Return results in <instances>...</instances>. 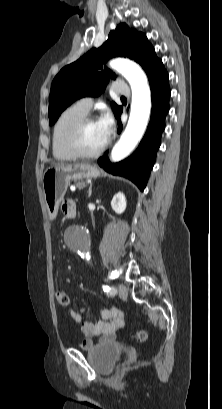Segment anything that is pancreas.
<instances>
[{
    "instance_id": "cf45deb5",
    "label": "pancreas",
    "mask_w": 222,
    "mask_h": 409,
    "mask_svg": "<svg viewBox=\"0 0 222 409\" xmlns=\"http://www.w3.org/2000/svg\"><path fill=\"white\" fill-rule=\"evenodd\" d=\"M76 186H77L78 188H83V187L85 186V182H78V183L76 184Z\"/></svg>"
}]
</instances>
